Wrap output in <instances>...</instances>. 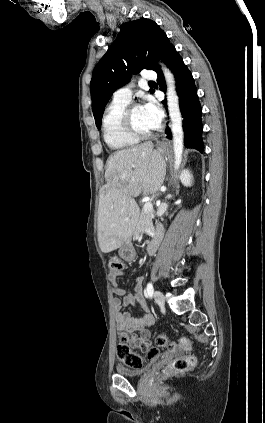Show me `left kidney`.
I'll return each mask as SVG.
<instances>
[{"mask_svg":"<svg viewBox=\"0 0 265 423\" xmlns=\"http://www.w3.org/2000/svg\"><path fill=\"white\" fill-rule=\"evenodd\" d=\"M192 179H193V176L190 173V171L184 170L183 173H182V176H181V181H182L183 185L191 186L192 185Z\"/></svg>","mask_w":265,"mask_h":423,"instance_id":"1","label":"left kidney"}]
</instances>
